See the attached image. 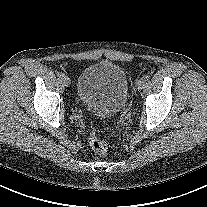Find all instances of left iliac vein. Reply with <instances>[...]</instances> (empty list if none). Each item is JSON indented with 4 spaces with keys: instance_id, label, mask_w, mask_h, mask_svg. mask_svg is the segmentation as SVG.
Returning a JSON list of instances; mask_svg holds the SVG:
<instances>
[{
    "instance_id": "obj_1",
    "label": "left iliac vein",
    "mask_w": 207,
    "mask_h": 207,
    "mask_svg": "<svg viewBox=\"0 0 207 207\" xmlns=\"http://www.w3.org/2000/svg\"><path fill=\"white\" fill-rule=\"evenodd\" d=\"M145 81L141 78L136 82L137 90H141L144 87Z\"/></svg>"
}]
</instances>
